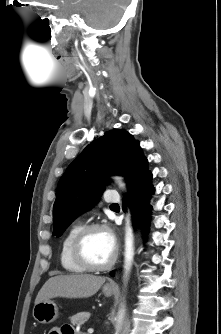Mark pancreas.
<instances>
[{
	"label": "pancreas",
	"mask_w": 221,
	"mask_h": 334,
	"mask_svg": "<svg viewBox=\"0 0 221 334\" xmlns=\"http://www.w3.org/2000/svg\"><path fill=\"white\" fill-rule=\"evenodd\" d=\"M90 316L91 314L88 312H80L70 317V321L72 324L80 326L84 324L90 318Z\"/></svg>",
	"instance_id": "pancreas-1"
}]
</instances>
